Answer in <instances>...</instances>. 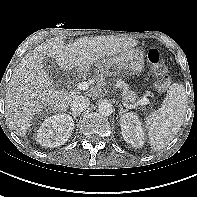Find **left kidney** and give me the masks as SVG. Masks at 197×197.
<instances>
[{
  "mask_svg": "<svg viewBox=\"0 0 197 197\" xmlns=\"http://www.w3.org/2000/svg\"><path fill=\"white\" fill-rule=\"evenodd\" d=\"M122 136L133 147L144 145V132L139 118L134 113H126L120 118Z\"/></svg>",
  "mask_w": 197,
  "mask_h": 197,
  "instance_id": "obj_1",
  "label": "left kidney"
}]
</instances>
